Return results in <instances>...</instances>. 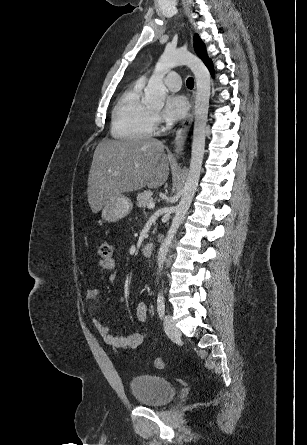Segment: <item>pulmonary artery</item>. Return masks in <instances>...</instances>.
<instances>
[{
  "instance_id": "1",
  "label": "pulmonary artery",
  "mask_w": 307,
  "mask_h": 445,
  "mask_svg": "<svg viewBox=\"0 0 307 445\" xmlns=\"http://www.w3.org/2000/svg\"><path fill=\"white\" fill-rule=\"evenodd\" d=\"M182 73L180 70H171L165 79L166 85L172 90H178L181 87Z\"/></svg>"
}]
</instances>
